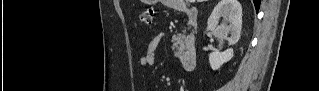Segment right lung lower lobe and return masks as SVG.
<instances>
[{
	"label": "right lung lower lobe",
	"mask_w": 319,
	"mask_h": 91,
	"mask_svg": "<svg viewBox=\"0 0 319 91\" xmlns=\"http://www.w3.org/2000/svg\"><path fill=\"white\" fill-rule=\"evenodd\" d=\"M256 10H259L261 0H253Z\"/></svg>",
	"instance_id": "98d812e1"
}]
</instances>
